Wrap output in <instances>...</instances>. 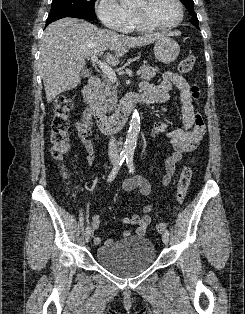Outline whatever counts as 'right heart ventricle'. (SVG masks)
<instances>
[{
    "label": "right heart ventricle",
    "instance_id": "e07e8e85",
    "mask_svg": "<svg viewBox=\"0 0 245 314\" xmlns=\"http://www.w3.org/2000/svg\"><path fill=\"white\" fill-rule=\"evenodd\" d=\"M134 30L141 31V30H147V28L141 27L138 24H136L133 20L132 14L130 13V21L125 31L129 32V31H134Z\"/></svg>",
    "mask_w": 245,
    "mask_h": 314
}]
</instances>
